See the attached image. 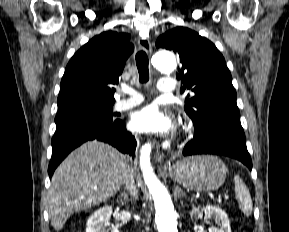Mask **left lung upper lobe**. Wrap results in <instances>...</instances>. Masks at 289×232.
<instances>
[{
	"mask_svg": "<svg viewBox=\"0 0 289 232\" xmlns=\"http://www.w3.org/2000/svg\"><path fill=\"white\" fill-rule=\"evenodd\" d=\"M156 46L173 50L181 68L176 73L188 95L186 113L194 129L220 124H241L236 91L225 59L208 39L186 27H176L159 36Z\"/></svg>",
	"mask_w": 289,
	"mask_h": 232,
	"instance_id": "obj_1",
	"label": "left lung upper lobe"
}]
</instances>
